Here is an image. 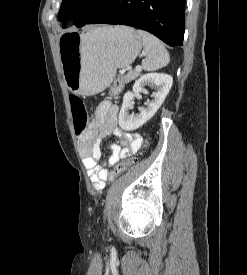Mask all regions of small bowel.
Wrapping results in <instances>:
<instances>
[{"label":"small bowel","mask_w":247,"mask_h":275,"mask_svg":"<svg viewBox=\"0 0 247 275\" xmlns=\"http://www.w3.org/2000/svg\"><path fill=\"white\" fill-rule=\"evenodd\" d=\"M118 106L109 102L100 103L90 122L89 129L78 138L83 163L93 187L102 191L109 176V168L121 159L136 153L142 146L143 138L135 132H124L118 126ZM109 136L116 140L110 145L111 155L101 165V141Z\"/></svg>","instance_id":"small-bowel-1"}]
</instances>
